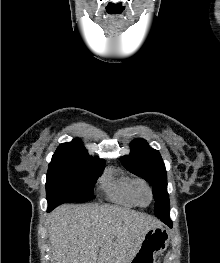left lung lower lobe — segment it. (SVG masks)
Segmentation results:
<instances>
[{
  "label": "left lung lower lobe",
  "mask_w": 220,
  "mask_h": 263,
  "mask_svg": "<svg viewBox=\"0 0 220 263\" xmlns=\"http://www.w3.org/2000/svg\"><path fill=\"white\" fill-rule=\"evenodd\" d=\"M161 221H163L166 225H168L169 227H172V222L169 218V212L166 213L165 215H159L157 216Z\"/></svg>",
  "instance_id": "1"
}]
</instances>
